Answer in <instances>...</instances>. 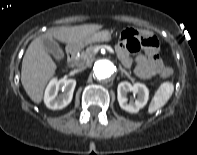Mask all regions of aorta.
Instances as JSON below:
<instances>
[{
  "instance_id": "aorta-1",
  "label": "aorta",
  "mask_w": 197,
  "mask_h": 155,
  "mask_svg": "<svg viewBox=\"0 0 197 155\" xmlns=\"http://www.w3.org/2000/svg\"><path fill=\"white\" fill-rule=\"evenodd\" d=\"M93 71L97 79L105 80L115 74L116 66L111 60L99 59L95 61Z\"/></svg>"
}]
</instances>
